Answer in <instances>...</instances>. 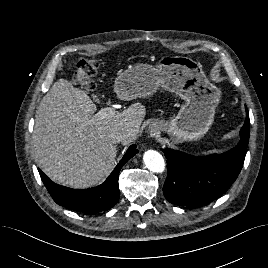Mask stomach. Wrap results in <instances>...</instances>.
<instances>
[{
	"mask_svg": "<svg viewBox=\"0 0 268 268\" xmlns=\"http://www.w3.org/2000/svg\"><path fill=\"white\" fill-rule=\"evenodd\" d=\"M158 87L185 101L173 119L158 122L160 130L175 143L203 137L213 124L220 90L208 80L201 64L189 57L166 56L157 67L138 64L126 69L114 84L116 94L124 100L153 96Z\"/></svg>",
	"mask_w": 268,
	"mask_h": 268,
	"instance_id": "stomach-1",
	"label": "stomach"
}]
</instances>
